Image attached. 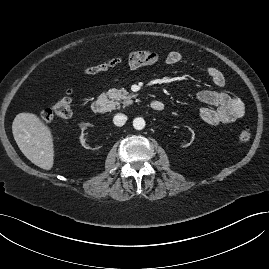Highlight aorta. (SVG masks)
I'll return each mask as SVG.
<instances>
[{"instance_id": "1", "label": "aorta", "mask_w": 269, "mask_h": 269, "mask_svg": "<svg viewBox=\"0 0 269 269\" xmlns=\"http://www.w3.org/2000/svg\"><path fill=\"white\" fill-rule=\"evenodd\" d=\"M133 127L136 130H142L145 127V120L141 117H137L133 120Z\"/></svg>"}]
</instances>
